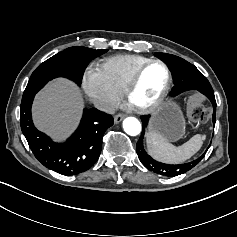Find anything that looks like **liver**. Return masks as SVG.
Instances as JSON below:
<instances>
[{"mask_svg":"<svg viewBox=\"0 0 237 237\" xmlns=\"http://www.w3.org/2000/svg\"><path fill=\"white\" fill-rule=\"evenodd\" d=\"M82 98L71 83L56 80L38 94L33 110L36 124L48 133L62 137L77 122Z\"/></svg>","mask_w":237,"mask_h":237,"instance_id":"liver-1","label":"liver"}]
</instances>
